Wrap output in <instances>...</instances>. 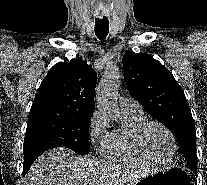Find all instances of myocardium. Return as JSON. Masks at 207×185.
<instances>
[{
    "label": "myocardium",
    "mask_w": 207,
    "mask_h": 185,
    "mask_svg": "<svg viewBox=\"0 0 207 185\" xmlns=\"http://www.w3.org/2000/svg\"><path fill=\"white\" fill-rule=\"evenodd\" d=\"M152 126H157L161 129H163L168 134V136L170 137V139L173 143V147H174L173 154L167 160H161V159L156 158L149 151V149L147 147L146 135H147L149 128H151ZM136 139H137L138 146L141 149V151L143 152V154L155 163L163 164V165L169 164L175 159V157L177 155L178 144H177L176 137H175L174 133L171 131V129L168 126H166L165 124H163L162 122L154 121V120H146L138 127L137 132H136Z\"/></svg>",
    "instance_id": "f54148a6"
}]
</instances>
